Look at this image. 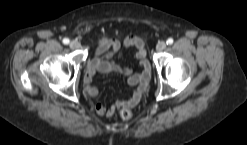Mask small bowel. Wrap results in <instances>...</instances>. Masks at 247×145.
Returning <instances> with one entry per match:
<instances>
[{
	"label": "small bowel",
	"mask_w": 247,
	"mask_h": 145,
	"mask_svg": "<svg viewBox=\"0 0 247 145\" xmlns=\"http://www.w3.org/2000/svg\"><path fill=\"white\" fill-rule=\"evenodd\" d=\"M122 45L137 48L134 57L138 60L142 69L140 73H136L132 69L113 60V57L119 53ZM109 72L126 76L127 84L130 87H134V90L129 99L116 101L109 109L100 103L95 104L94 109L99 115L106 114L112 116L122 108L131 109L139 103L151 76V66L146 58L143 40L132 36L126 38L123 44L117 39L102 38L98 41L94 57L89 61L84 75V91L89 98H95L99 93L98 89L91 85L93 77L97 73L104 74Z\"/></svg>",
	"instance_id": "small-bowel-1"
}]
</instances>
